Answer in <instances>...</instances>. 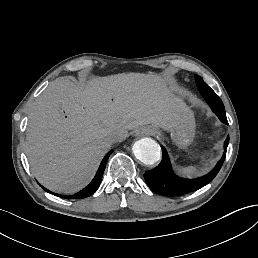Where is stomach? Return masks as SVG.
I'll list each match as a JSON object with an SVG mask.
<instances>
[{"label":"stomach","mask_w":258,"mask_h":258,"mask_svg":"<svg viewBox=\"0 0 258 258\" xmlns=\"http://www.w3.org/2000/svg\"><path fill=\"white\" fill-rule=\"evenodd\" d=\"M138 130H143L150 135L158 136L163 141L170 140L179 149H186L195 139V117L190 106L182 100L177 115V124L170 129V137L166 136L157 126L146 125Z\"/></svg>","instance_id":"0dacf381"}]
</instances>
